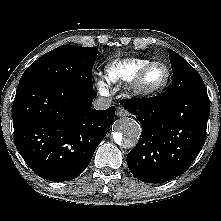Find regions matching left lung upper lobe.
Wrapping results in <instances>:
<instances>
[{"label":"left lung upper lobe","instance_id":"left-lung-upper-lobe-1","mask_svg":"<svg viewBox=\"0 0 221 221\" xmlns=\"http://www.w3.org/2000/svg\"><path fill=\"white\" fill-rule=\"evenodd\" d=\"M173 70V81L170 89L163 94L169 99H175L180 95L205 91V84L199 73L179 54L168 49Z\"/></svg>","mask_w":221,"mask_h":221}]
</instances>
